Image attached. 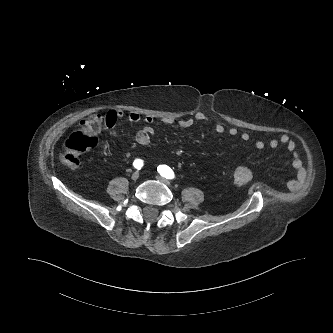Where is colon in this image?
<instances>
[{
  "instance_id": "5ec220e1",
  "label": "colon",
  "mask_w": 333,
  "mask_h": 333,
  "mask_svg": "<svg viewBox=\"0 0 333 333\" xmlns=\"http://www.w3.org/2000/svg\"><path fill=\"white\" fill-rule=\"evenodd\" d=\"M115 121L114 112H109L106 115L93 114L82 120L79 128L63 144L62 162L71 169L77 168L81 156L97 145L99 135L106 128L112 127ZM252 176V171L245 166L237 167L233 173L234 180L239 185L249 183Z\"/></svg>"
}]
</instances>
